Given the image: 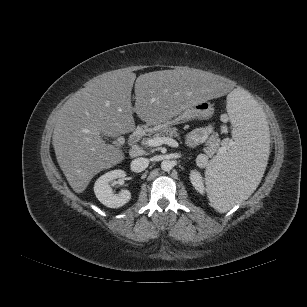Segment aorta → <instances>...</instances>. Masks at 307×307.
<instances>
[{
  "mask_svg": "<svg viewBox=\"0 0 307 307\" xmlns=\"http://www.w3.org/2000/svg\"><path fill=\"white\" fill-rule=\"evenodd\" d=\"M173 162L170 160H164L161 162V169L163 171H170L173 168Z\"/></svg>",
  "mask_w": 307,
  "mask_h": 307,
  "instance_id": "aorta-1",
  "label": "aorta"
}]
</instances>
